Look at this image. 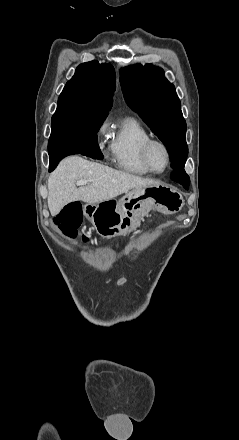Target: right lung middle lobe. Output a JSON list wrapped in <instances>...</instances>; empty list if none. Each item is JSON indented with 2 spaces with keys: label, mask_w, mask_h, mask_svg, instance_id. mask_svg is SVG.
<instances>
[{
  "label": "right lung middle lobe",
  "mask_w": 239,
  "mask_h": 440,
  "mask_svg": "<svg viewBox=\"0 0 239 440\" xmlns=\"http://www.w3.org/2000/svg\"><path fill=\"white\" fill-rule=\"evenodd\" d=\"M105 118V115L77 114L57 109L52 117L49 155L88 144H98L97 132Z\"/></svg>",
  "instance_id": "1"
}]
</instances>
